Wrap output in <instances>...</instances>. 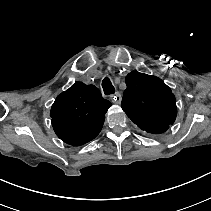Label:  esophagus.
Masks as SVG:
<instances>
[{
	"label": "esophagus",
	"mask_w": 211,
	"mask_h": 211,
	"mask_svg": "<svg viewBox=\"0 0 211 211\" xmlns=\"http://www.w3.org/2000/svg\"><path fill=\"white\" fill-rule=\"evenodd\" d=\"M110 99L112 100L113 103L120 104L122 97L119 92H116L113 96L110 97Z\"/></svg>",
	"instance_id": "obj_1"
}]
</instances>
